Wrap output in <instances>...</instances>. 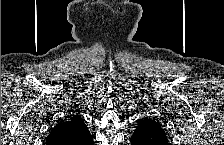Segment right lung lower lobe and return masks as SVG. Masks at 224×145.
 Masks as SVG:
<instances>
[{
	"label": "right lung lower lobe",
	"mask_w": 224,
	"mask_h": 145,
	"mask_svg": "<svg viewBox=\"0 0 224 145\" xmlns=\"http://www.w3.org/2000/svg\"><path fill=\"white\" fill-rule=\"evenodd\" d=\"M89 145L93 144V138L88 142Z\"/></svg>",
	"instance_id": "1"
}]
</instances>
